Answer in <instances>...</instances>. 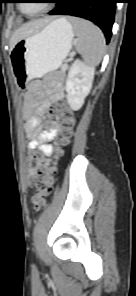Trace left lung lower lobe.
Returning <instances> with one entry per match:
<instances>
[{"instance_id": "0a47b994", "label": "left lung lower lobe", "mask_w": 136, "mask_h": 296, "mask_svg": "<svg viewBox=\"0 0 136 296\" xmlns=\"http://www.w3.org/2000/svg\"><path fill=\"white\" fill-rule=\"evenodd\" d=\"M118 2V0H57L55 9L50 11L49 14H68L88 19L101 28L106 37V42L109 43L112 35L115 5Z\"/></svg>"}]
</instances>
